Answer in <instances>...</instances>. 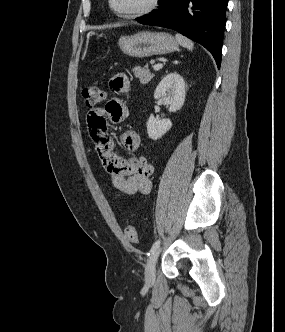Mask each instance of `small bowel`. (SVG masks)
<instances>
[{"mask_svg":"<svg viewBox=\"0 0 285 332\" xmlns=\"http://www.w3.org/2000/svg\"><path fill=\"white\" fill-rule=\"evenodd\" d=\"M112 92L126 95L130 91V82L123 73L115 74L109 81ZM128 116V108L121 99H111L103 109L88 112L87 125L90 138L94 142L112 186L126 195L148 194L152 188L151 176L153 165L143 156L137 154L140 136L132 130L120 136V144L128 152L122 157L115 150L112 138L106 132L107 122L119 124Z\"/></svg>","mask_w":285,"mask_h":332,"instance_id":"small-bowel-1","label":"small bowel"}]
</instances>
